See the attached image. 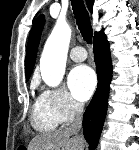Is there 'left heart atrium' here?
Segmentation results:
<instances>
[{
	"label": "left heart atrium",
	"instance_id": "1",
	"mask_svg": "<svg viewBox=\"0 0 139 150\" xmlns=\"http://www.w3.org/2000/svg\"><path fill=\"white\" fill-rule=\"evenodd\" d=\"M97 83L96 74L92 68L80 65L71 70L68 76V86L73 97L81 102L88 100L93 94Z\"/></svg>",
	"mask_w": 139,
	"mask_h": 150
}]
</instances>
